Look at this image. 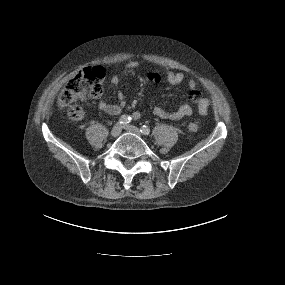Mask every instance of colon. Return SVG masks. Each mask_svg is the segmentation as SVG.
<instances>
[{
    "label": "colon",
    "instance_id": "1",
    "mask_svg": "<svg viewBox=\"0 0 285 285\" xmlns=\"http://www.w3.org/2000/svg\"><path fill=\"white\" fill-rule=\"evenodd\" d=\"M103 78L104 71L101 67L90 66L67 82L58 97V105L61 108H68V116L71 120L78 121L83 118V109L77 102L98 97L102 93ZM199 127L196 121L188 124L190 132L198 131Z\"/></svg>",
    "mask_w": 285,
    "mask_h": 285
}]
</instances>
